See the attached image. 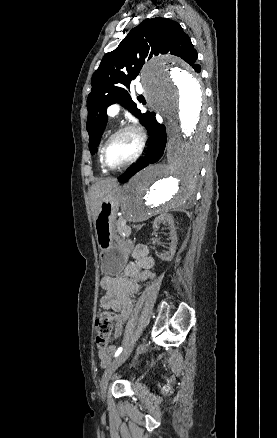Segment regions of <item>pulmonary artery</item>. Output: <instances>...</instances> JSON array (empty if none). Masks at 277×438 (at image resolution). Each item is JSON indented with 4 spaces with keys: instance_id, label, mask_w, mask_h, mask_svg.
Wrapping results in <instances>:
<instances>
[{
    "instance_id": "obj_1",
    "label": "pulmonary artery",
    "mask_w": 277,
    "mask_h": 438,
    "mask_svg": "<svg viewBox=\"0 0 277 438\" xmlns=\"http://www.w3.org/2000/svg\"><path fill=\"white\" fill-rule=\"evenodd\" d=\"M139 85H140V80H131L130 86H139ZM121 109L122 107L119 103H114L108 107L107 115L110 118L115 119L120 115Z\"/></svg>"
}]
</instances>
